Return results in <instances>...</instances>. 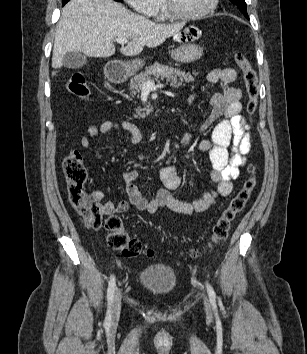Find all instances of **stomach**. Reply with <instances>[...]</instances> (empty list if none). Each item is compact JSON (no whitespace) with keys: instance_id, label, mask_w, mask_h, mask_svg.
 <instances>
[{"instance_id":"stomach-1","label":"stomach","mask_w":307,"mask_h":354,"mask_svg":"<svg viewBox=\"0 0 307 354\" xmlns=\"http://www.w3.org/2000/svg\"><path fill=\"white\" fill-rule=\"evenodd\" d=\"M181 36L177 33L174 40L181 43V46L171 52L172 58L181 63H190L199 59L203 54V49L193 43L201 35V31L194 26L186 28ZM143 66L141 59H136L131 62L121 63L118 68V76L121 78L129 77Z\"/></svg>"}]
</instances>
